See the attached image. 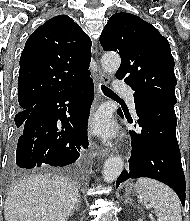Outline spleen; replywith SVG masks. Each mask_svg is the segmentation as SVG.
<instances>
[{"label":"spleen","mask_w":190,"mask_h":221,"mask_svg":"<svg viewBox=\"0 0 190 221\" xmlns=\"http://www.w3.org/2000/svg\"><path fill=\"white\" fill-rule=\"evenodd\" d=\"M135 187L140 202L150 203L159 221H182L180 200L168 186L150 178H139Z\"/></svg>","instance_id":"obj_1"}]
</instances>
